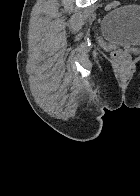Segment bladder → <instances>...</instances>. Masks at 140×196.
<instances>
[{
    "label": "bladder",
    "instance_id": "bladder-1",
    "mask_svg": "<svg viewBox=\"0 0 140 196\" xmlns=\"http://www.w3.org/2000/svg\"><path fill=\"white\" fill-rule=\"evenodd\" d=\"M104 36L126 45H140V6L122 5L109 11L103 22Z\"/></svg>",
    "mask_w": 140,
    "mask_h": 196
}]
</instances>
